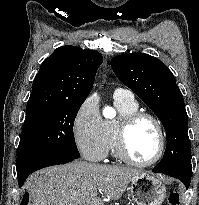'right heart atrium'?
<instances>
[{
  "instance_id": "d8ad5b80",
  "label": "right heart atrium",
  "mask_w": 199,
  "mask_h": 205,
  "mask_svg": "<svg viewBox=\"0 0 199 205\" xmlns=\"http://www.w3.org/2000/svg\"><path fill=\"white\" fill-rule=\"evenodd\" d=\"M72 132L75 145L85 159L99 162L105 158L106 135L97 98L90 96L82 102L75 114Z\"/></svg>"
}]
</instances>
